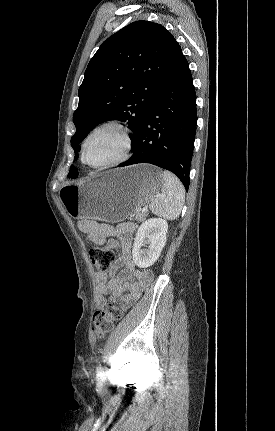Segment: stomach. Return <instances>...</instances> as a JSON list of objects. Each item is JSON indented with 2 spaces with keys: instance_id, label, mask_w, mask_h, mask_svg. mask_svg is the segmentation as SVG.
Returning a JSON list of instances; mask_svg holds the SVG:
<instances>
[{
  "instance_id": "obj_1",
  "label": "stomach",
  "mask_w": 275,
  "mask_h": 431,
  "mask_svg": "<svg viewBox=\"0 0 275 431\" xmlns=\"http://www.w3.org/2000/svg\"><path fill=\"white\" fill-rule=\"evenodd\" d=\"M162 185L159 168L138 164L109 170L77 184H65L59 197L72 218L117 223L144 206Z\"/></svg>"
}]
</instances>
